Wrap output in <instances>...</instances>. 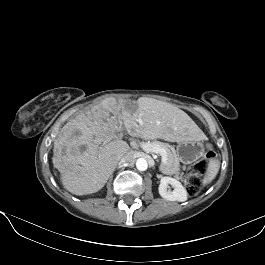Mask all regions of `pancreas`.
I'll return each mask as SVG.
<instances>
[{
  "label": "pancreas",
  "mask_w": 265,
  "mask_h": 265,
  "mask_svg": "<svg viewBox=\"0 0 265 265\" xmlns=\"http://www.w3.org/2000/svg\"><path fill=\"white\" fill-rule=\"evenodd\" d=\"M150 143L161 146L167 152V161L160 165V171L164 174L175 175V177L180 178L182 174H180V163L175 148L168 143L160 141H152Z\"/></svg>",
  "instance_id": "cf45deb5"
}]
</instances>
